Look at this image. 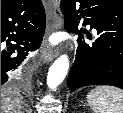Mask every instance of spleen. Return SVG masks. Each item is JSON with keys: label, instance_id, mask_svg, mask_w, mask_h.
Returning a JSON list of instances; mask_svg holds the SVG:
<instances>
[{"label": "spleen", "instance_id": "1", "mask_svg": "<svg viewBox=\"0 0 123 113\" xmlns=\"http://www.w3.org/2000/svg\"><path fill=\"white\" fill-rule=\"evenodd\" d=\"M94 113H123V90L113 86H98L87 95Z\"/></svg>", "mask_w": 123, "mask_h": 113}]
</instances>
